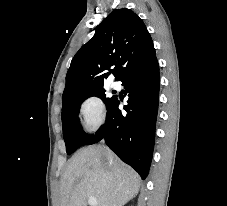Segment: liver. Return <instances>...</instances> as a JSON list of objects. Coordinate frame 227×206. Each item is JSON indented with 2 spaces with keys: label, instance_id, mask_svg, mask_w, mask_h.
Instances as JSON below:
<instances>
[{
  "label": "liver",
  "instance_id": "1",
  "mask_svg": "<svg viewBox=\"0 0 227 206\" xmlns=\"http://www.w3.org/2000/svg\"><path fill=\"white\" fill-rule=\"evenodd\" d=\"M140 177L102 145L80 149L61 179L59 206H86L90 196L97 206H123L139 191Z\"/></svg>",
  "mask_w": 227,
  "mask_h": 206
}]
</instances>
